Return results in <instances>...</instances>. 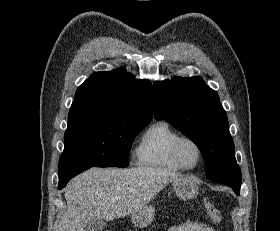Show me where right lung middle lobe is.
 <instances>
[{
	"label": "right lung middle lobe",
	"instance_id": "right-lung-middle-lobe-1",
	"mask_svg": "<svg viewBox=\"0 0 280 231\" xmlns=\"http://www.w3.org/2000/svg\"><path fill=\"white\" fill-rule=\"evenodd\" d=\"M149 122L112 118H72L59 164L127 167L135 136Z\"/></svg>",
	"mask_w": 280,
	"mask_h": 231
}]
</instances>
